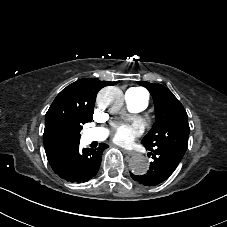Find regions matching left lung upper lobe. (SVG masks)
<instances>
[{
  "instance_id": "left-lung-upper-lobe-1",
  "label": "left lung upper lobe",
  "mask_w": 227,
  "mask_h": 227,
  "mask_svg": "<svg viewBox=\"0 0 227 227\" xmlns=\"http://www.w3.org/2000/svg\"><path fill=\"white\" fill-rule=\"evenodd\" d=\"M137 83L149 90L156 109V121L141 143L146 148L167 146L184 155L188 146L190 128L183 105L168 88L161 84L144 81Z\"/></svg>"
}]
</instances>
